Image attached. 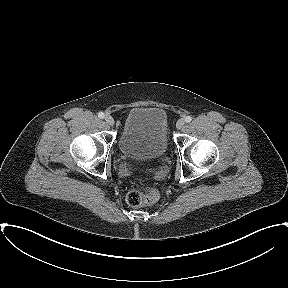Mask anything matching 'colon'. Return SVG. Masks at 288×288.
Listing matches in <instances>:
<instances>
[{"label":"colon","mask_w":288,"mask_h":288,"mask_svg":"<svg viewBox=\"0 0 288 288\" xmlns=\"http://www.w3.org/2000/svg\"><path fill=\"white\" fill-rule=\"evenodd\" d=\"M158 198V192L154 188H141L130 191L126 196L128 205L139 207L153 203Z\"/></svg>","instance_id":"colon-1"}]
</instances>
